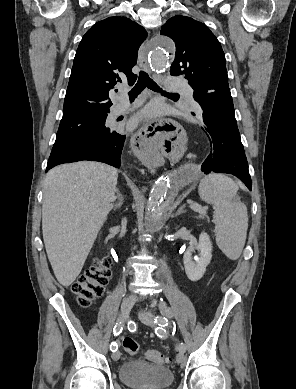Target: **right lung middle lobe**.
I'll return each instance as SVG.
<instances>
[{"instance_id": "dd1d6c3e", "label": "right lung middle lobe", "mask_w": 296, "mask_h": 389, "mask_svg": "<svg viewBox=\"0 0 296 389\" xmlns=\"http://www.w3.org/2000/svg\"><path fill=\"white\" fill-rule=\"evenodd\" d=\"M108 113H79L62 117L53 148L112 133L105 126Z\"/></svg>"}]
</instances>
